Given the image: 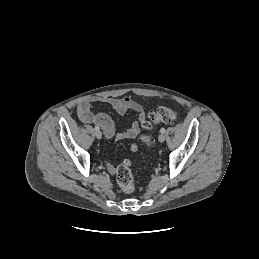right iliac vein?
<instances>
[{"mask_svg": "<svg viewBox=\"0 0 259 259\" xmlns=\"http://www.w3.org/2000/svg\"><path fill=\"white\" fill-rule=\"evenodd\" d=\"M95 136L97 139H101L102 138V133L100 131H96L95 132Z\"/></svg>", "mask_w": 259, "mask_h": 259, "instance_id": "1", "label": "right iliac vein"}]
</instances>
